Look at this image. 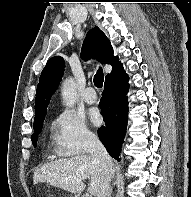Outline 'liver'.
I'll return each instance as SVG.
<instances>
[{
  "mask_svg": "<svg viewBox=\"0 0 191 197\" xmlns=\"http://www.w3.org/2000/svg\"><path fill=\"white\" fill-rule=\"evenodd\" d=\"M114 168L113 164V172ZM88 177V191L91 195L97 196L103 181V168L91 155H78L43 165L35 171L33 182H46L80 195L85 189L83 180Z\"/></svg>",
  "mask_w": 191,
  "mask_h": 197,
  "instance_id": "6515ba94",
  "label": "liver"
}]
</instances>
